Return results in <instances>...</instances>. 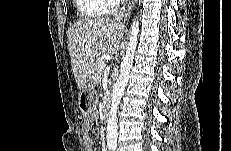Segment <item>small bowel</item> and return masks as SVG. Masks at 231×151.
Instances as JSON below:
<instances>
[{
    "mask_svg": "<svg viewBox=\"0 0 231 151\" xmlns=\"http://www.w3.org/2000/svg\"><path fill=\"white\" fill-rule=\"evenodd\" d=\"M83 132H84V146H85V151H93L94 150V142L93 138L91 135L92 131V119L88 118L85 120L83 123Z\"/></svg>",
    "mask_w": 231,
    "mask_h": 151,
    "instance_id": "small-bowel-1",
    "label": "small bowel"
}]
</instances>
